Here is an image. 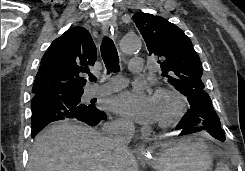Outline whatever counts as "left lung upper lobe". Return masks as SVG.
<instances>
[{"label":"left lung upper lobe","mask_w":245,"mask_h":171,"mask_svg":"<svg viewBox=\"0 0 245 171\" xmlns=\"http://www.w3.org/2000/svg\"><path fill=\"white\" fill-rule=\"evenodd\" d=\"M146 42L149 55L160 58L162 76L183 95L204 90L203 69L191 40L175 24L163 17L143 12L132 16Z\"/></svg>","instance_id":"5c2ea615"}]
</instances>
